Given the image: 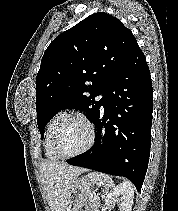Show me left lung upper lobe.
Returning a JSON list of instances; mask_svg holds the SVG:
<instances>
[{
  "label": "left lung upper lobe",
  "instance_id": "1",
  "mask_svg": "<svg viewBox=\"0 0 178 211\" xmlns=\"http://www.w3.org/2000/svg\"><path fill=\"white\" fill-rule=\"evenodd\" d=\"M137 41L122 22L94 13L56 37L46 49L36 77L37 124L44 136L48 121L62 109L85 111L95 122L108 84ZM90 81L91 84H86Z\"/></svg>",
  "mask_w": 178,
  "mask_h": 211
}]
</instances>
